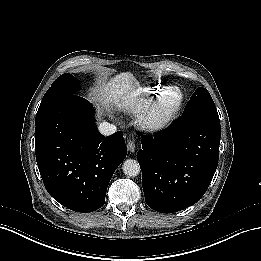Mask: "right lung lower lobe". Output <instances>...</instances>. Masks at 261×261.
<instances>
[{
    "label": "right lung lower lobe",
    "instance_id": "right-lung-lower-lobe-1",
    "mask_svg": "<svg viewBox=\"0 0 261 261\" xmlns=\"http://www.w3.org/2000/svg\"><path fill=\"white\" fill-rule=\"evenodd\" d=\"M91 104L71 94L35 120V153L48 193L63 206L88 213L105 202L110 179L127 148L121 131L105 137Z\"/></svg>",
    "mask_w": 261,
    "mask_h": 261
}]
</instances>
